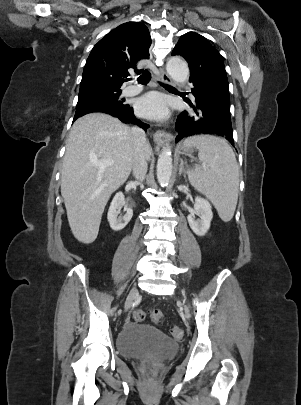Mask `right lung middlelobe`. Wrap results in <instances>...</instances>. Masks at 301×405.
<instances>
[{"label": "right lung middle lobe", "instance_id": "right-lung-middle-lobe-1", "mask_svg": "<svg viewBox=\"0 0 301 405\" xmlns=\"http://www.w3.org/2000/svg\"><path fill=\"white\" fill-rule=\"evenodd\" d=\"M120 89L116 88H89L79 91L78 103L76 105L77 116L104 108L120 109L127 108L124 99H120Z\"/></svg>", "mask_w": 301, "mask_h": 405}]
</instances>
